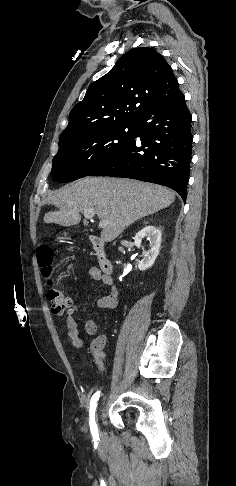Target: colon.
<instances>
[{"instance_id": "1", "label": "colon", "mask_w": 236, "mask_h": 486, "mask_svg": "<svg viewBox=\"0 0 236 486\" xmlns=\"http://www.w3.org/2000/svg\"><path fill=\"white\" fill-rule=\"evenodd\" d=\"M38 263L42 267L44 276L52 283V262L53 253L50 247L41 246L37 252ZM49 302L51 303L52 311L56 314H62L70 306L72 299L70 295L63 289L57 286H52L47 293ZM102 358L101 352L94 354L95 363H99Z\"/></svg>"}]
</instances>
